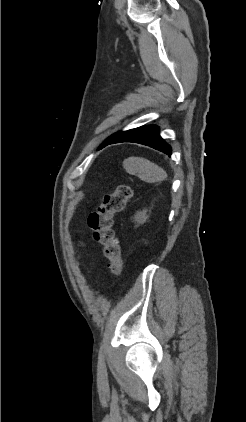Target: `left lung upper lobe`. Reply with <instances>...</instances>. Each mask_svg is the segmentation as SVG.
Instances as JSON below:
<instances>
[{
  "mask_svg": "<svg viewBox=\"0 0 246 422\" xmlns=\"http://www.w3.org/2000/svg\"><path fill=\"white\" fill-rule=\"evenodd\" d=\"M122 133H123V132H117V133L113 134L112 136H110V137H109L106 141L111 140V139H115V138H117L118 136H120ZM106 141H105V142H106ZM105 142H103V143H105Z\"/></svg>",
  "mask_w": 246,
  "mask_h": 422,
  "instance_id": "5c2ea615",
  "label": "left lung upper lobe"
}]
</instances>
